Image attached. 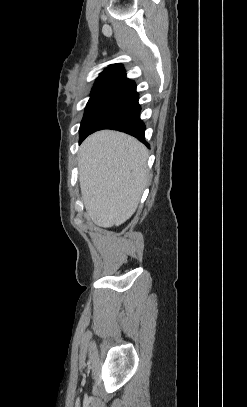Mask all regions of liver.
Returning <instances> with one entry per match:
<instances>
[{
  "label": "liver",
  "mask_w": 247,
  "mask_h": 407,
  "mask_svg": "<svg viewBox=\"0 0 247 407\" xmlns=\"http://www.w3.org/2000/svg\"><path fill=\"white\" fill-rule=\"evenodd\" d=\"M147 158L146 147L121 132L103 130L86 138L78 166L87 219L108 227L133 215L147 183Z\"/></svg>",
  "instance_id": "1"
}]
</instances>
